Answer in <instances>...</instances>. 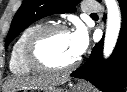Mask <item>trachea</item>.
<instances>
[{"label":"trachea","mask_w":127,"mask_h":92,"mask_svg":"<svg viewBox=\"0 0 127 92\" xmlns=\"http://www.w3.org/2000/svg\"><path fill=\"white\" fill-rule=\"evenodd\" d=\"M91 16H97V14L96 13H92V14H90Z\"/></svg>","instance_id":"obj_1"}]
</instances>
